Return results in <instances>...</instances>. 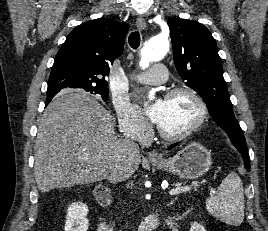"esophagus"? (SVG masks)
I'll return each instance as SVG.
<instances>
[{
	"mask_svg": "<svg viewBox=\"0 0 268 231\" xmlns=\"http://www.w3.org/2000/svg\"><path fill=\"white\" fill-rule=\"evenodd\" d=\"M136 25L139 30H144L146 28V21L142 16H139L136 20ZM148 158L150 160H159L160 157L154 151L148 153Z\"/></svg>",
	"mask_w": 268,
	"mask_h": 231,
	"instance_id": "obj_1",
	"label": "esophagus"
}]
</instances>
